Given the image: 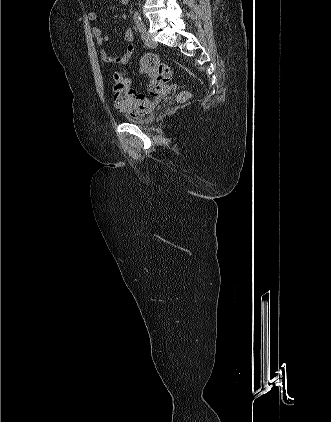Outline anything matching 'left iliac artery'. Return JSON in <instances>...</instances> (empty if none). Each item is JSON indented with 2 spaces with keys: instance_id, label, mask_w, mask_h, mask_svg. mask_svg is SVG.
<instances>
[{
  "instance_id": "44dca946",
  "label": "left iliac artery",
  "mask_w": 331,
  "mask_h": 422,
  "mask_svg": "<svg viewBox=\"0 0 331 422\" xmlns=\"http://www.w3.org/2000/svg\"><path fill=\"white\" fill-rule=\"evenodd\" d=\"M133 17H134V21H135V24H136V27L138 28V30L140 32L145 31V25H144L140 15H139V13L135 12Z\"/></svg>"
}]
</instances>
